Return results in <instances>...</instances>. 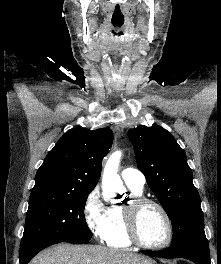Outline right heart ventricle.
<instances>
[{"instance_id": "1", "label": "right heart ventricle", "mask_w": 221, "mask_h": 264, "mask_svg": "<svg viewBox=\"0 0 221 264\" xmlns=\"http://www.w3.org/2000/svg\"><path fill=\"white\" fill-rule=\"evenodd\" d=\"M132 196H142V190L129 186ZM108 246L126 248L132 245L124 223L123 206L114 205L110 208V220L106 235L103 239Z\"/></svg>"}]
</instances>
